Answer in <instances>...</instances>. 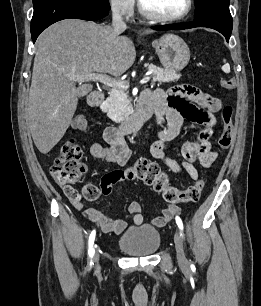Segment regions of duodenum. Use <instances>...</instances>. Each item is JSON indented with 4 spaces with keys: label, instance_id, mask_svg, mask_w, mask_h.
Returning a JSON list of instances; mask_svg holds the SVG:
<instances>
[{
    "label": "duodenum",
    "instance_id": "1",
    "mask_svg": "<svg viewBox=\"0 0 261 306\" xmlns=\"http://www.w3.org/2000/svg\"><path fill=\"white\" fill-rule=\"evenodd\" d=\"M104 101L103 93H93L89 98V103L93 107H99ZM153 114V107L150 102L140 99L136 111L126 118L120 125L119 131L122 134L135 132L141 128Z\"/></svg>",
    "mask_w": 261,
    "mask_h": 306
}]
</instances>
